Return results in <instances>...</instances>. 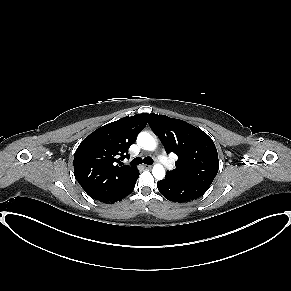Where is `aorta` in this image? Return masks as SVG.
I'll use <instances>...</instances> for the list:
<instances>
[{"instance_id":"obj_1","label":"aorta","mask_w":291,"mask_h":291,"mask_svg":"<svg viewBox=\"0 0 291 291\" xmlns=\"http://www.w3.org/2000/svg\"><path fill=\"white\" fill-rule=\"evenodd\" d=\"M137 142L143 149L148 151H152L156 148V141L154 137L147 132L139 133ZM152 174L157 180H162L165 177V169L162 165L156 164L152 169Z\"/></svg>"}]
</instances>
